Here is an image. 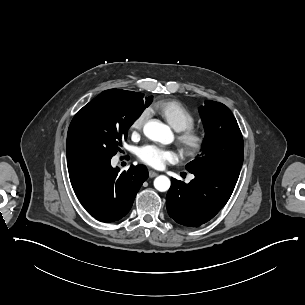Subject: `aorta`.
<instances>
[{"label": "aorta", "instance_id": "1", "mask_svg": "<svg viewBox=\"0 0 305 305\" xmlns=\"http://www.w3.org/2000/svg\"><path fill=\"white\" fill-rule=\"evenodd\" d=\"M143 131L147 138L161 143L167 142L172 135L169 127L157 120L147 122ZM170 185V179L165 175H160L154 180V187L160 192L168 191Z\"/></svg>", "mask_w": 305, "mask_h": 305}]
</instances>
